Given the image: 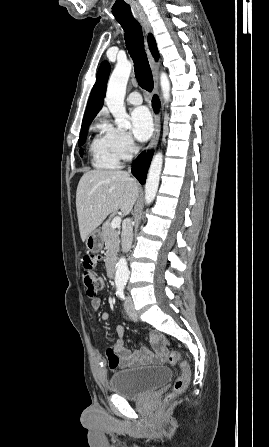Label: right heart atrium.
<instances>
[{
	"instance_id": "obj_1",
	"label": "right heart atrium",
	"mask_w": 269,
	"mask_h": 447,
	"mask_svg": "<svg viewBox=\"0 0 269 447\" xmlns=\"http://www.w3.org/2000/svg\"><path fill=\"white\" fill-rule=\"evenodd\" d=\"M101 128L111 135L115 150L121 159L130 158L135 153L136 145L128 132L105 123L101 124Z\"/></svg>"
}]
</instances>
